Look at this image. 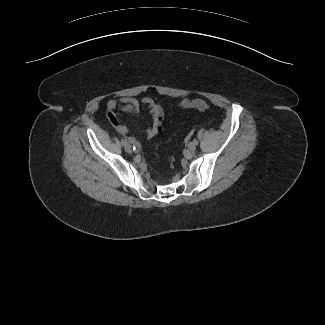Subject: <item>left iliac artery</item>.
<instances>
[{"mask_svg": "<svg viewBox=\"0 0 325 325\" xmlns=\"http://www.w3.org/2000/svg\"><path fill=\"white\" fill-rule=\"evenodd\" d=\"M193 143H194L195 145H197V144H198V141H197V140H194Z\"/></svg>", "mask_w": 325, "mask_h": 325, "instance_id": "44dca946", "label": "left iliac artery"}]
</instances>
